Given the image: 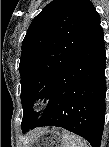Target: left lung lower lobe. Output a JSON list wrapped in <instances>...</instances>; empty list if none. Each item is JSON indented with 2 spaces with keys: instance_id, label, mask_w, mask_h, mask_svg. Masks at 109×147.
Wrapping results in <instances>:
<instances>
[{
  "instance_id": "left-lung-lower-lobe-1",
  "label": "left lung lower lobe",
  "mask_w": 109,
  "mask_h": 147,
  "mask_svg": "<svg viewBox=\"0 0 109 147\" xmlns=\"http://www.w3.org/2000/svg\"><path fill=\"white\" fill-rule=\"evenodd\" d=\"M105 44L101 26L62 68L49 103L25 133L38 126L63 127L100 147L105 115Z\"/></svg>"
}]
</instances>
